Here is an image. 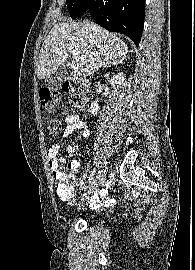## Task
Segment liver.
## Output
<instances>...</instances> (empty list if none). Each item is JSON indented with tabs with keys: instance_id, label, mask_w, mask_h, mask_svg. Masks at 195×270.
Returning <instances> with one entry per match:
<instances>
[{
	"instance_id": "liver-1",
	"label": "liver",
	"mask_w": 195,
	"mask_h": 270,
	"mask_svg": "<svg viewBox=\"0 0 195 270\" xmlns=\"http://www.w3.org/2000/svg\"><path fill=\"white\" fill-rule=\"evenodd\" d=\"M76 51L70 65L73 76H90L101 67L122 63L128 53L124 41L99 25L89 22H61L48 34L41 48L37 77L46 79Z\"/></svg>"
}]
</instances>
